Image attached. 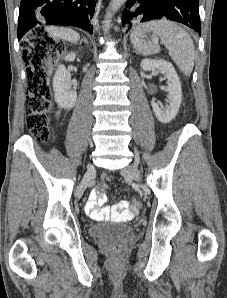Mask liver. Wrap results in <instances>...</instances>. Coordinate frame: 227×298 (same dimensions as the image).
Instances as JSON below:
<instances>
[{
    "instance_id": "liver-1",
    "label": "liver",
    "mask_w": 227,
    "mask_h": 298,
    "mask_svg": "<svg viewBox=\"0 0 227 298\" xmlns=\"http://www.w3.org/2000/svg\"><path fill=\"white\" fill-rule=\"evenodd\" d=\"M47 32L56 38L73 43L78 42L80 39V36L76 31L67 28L48 27Z\"/></svg>"
}]
</instances>
